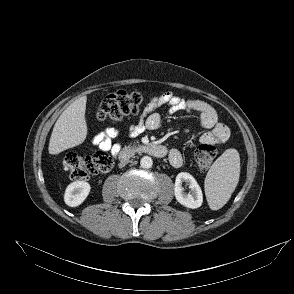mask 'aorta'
Listing matches in <instances>:
<instances>
[{"label": "aorta", "mask_w": 294, "mask_h": 294, "mask_svg": "<svg viewBox=\"0 0 294 294\" xmlns=\"http://www.w3.org/2000/svg\"><path fill=\"white\" fill-rule=\"evenodd\" d=\"M140 165L142 168L148 169L151 168L153 165L152 158L149 156H144L140 160Z\"/></svg>", "instance_id": "1"}]
</instances>
